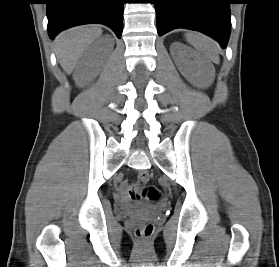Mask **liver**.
I'll use <instances>...</instances> for the list:
<instances>
[{
  "label": "liver",
  "mask_w": 279,
  "mask_h": 267,
  "mask_svg": "<svg viewBox=\"0 0 279 267\" xmlns=\"http://www.w3.org/2000/svg\"><path fill=\"white\" fill-rule=\"evenodd\" d=\"M101 34L102 29L100 26L84 25L63 31L56 37V56L67 74L72 73L83 52Z\"/></svg>",
  "instance_id": "liver-1"
}]
</instances>
